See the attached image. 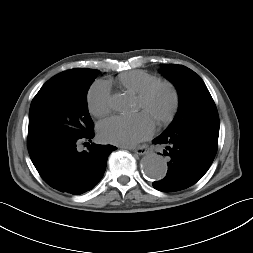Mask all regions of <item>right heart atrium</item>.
<instances>
[{
    "label": "right heart atrium",
    "instance_id": "obj_1",
    "mask_svg": "<svg viewBox=\"0 0 253 253\" xmlns=\"http://www.w3.org/2000/svg\"><path fill=\"white\" fill-rule=\"evenodd\" d=\"M87 107L89 112L102 117L109 113L111 108V91L106 81L98 80L92 84L87 93Z\"/></svg>",
    "mask_w": 253,
    "mask_h": 253
}]
</instances>
